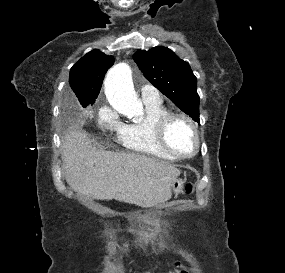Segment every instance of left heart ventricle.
Segmentation results:
<instances>
[{"label": "left heart ventricle", "instance_id": "left-heart-ventricle-1", "mask_svg": "<svg viewBox=\"0 0 285 273\" xmlns=\"http://www.w3.org/2000/svg\"><path fill=\"white\" fill-rule=\"evenodd\" d=\"M167 140L175 150L190 153L195 146V138L189 125L182 119H175L167 130Z\"/></svg>", "mask_w": 285, "mask_h": 273}]
</instances>
